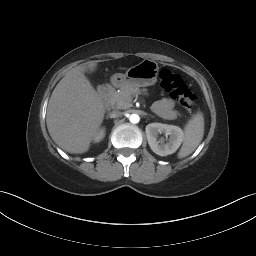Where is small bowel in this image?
Returning <instances> with one entry per match:
<instances>
[{"mask_svg": "<svg viewBox=\"0 0 256 256\" xmlns=\"http://www.w3.org/2000/svg\"><path fill=\"white\" fill-rule=\"evenodd\" d=\"M154 111L162 118L167 120L176 119L178 111L175 109L173 100L164 98L157 101L153 106Z\"/></svg>", "mask_w": 256, "mask_h": 256, "instance_id": "small-bowel-1", "label": "small bowel"}]
</instances>
